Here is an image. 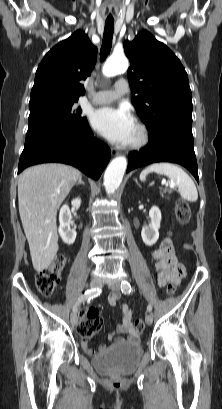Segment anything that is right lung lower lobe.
I'll list each match as a JSON object with an SVG mask.
<instances>
[{
  "instance_id": "1",
  "label": "right lung lower lobe",
  "mask_w": 222,
  "mask_h": 409,
  "mask_svg": "<svg viewBox=\"0 0 222 409\" xmlns=\"http://www.w3.org/2000/svg\"><path fill=\"white\" fill-rule=\"evenodd\" d=\"M109 160V147L94 138L87 125L73 139L42 135L25 144L18 173L31 165L60 162L73 165L91 178L98 179Z\"/></svg>"
}]
</instances>
